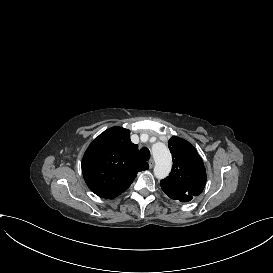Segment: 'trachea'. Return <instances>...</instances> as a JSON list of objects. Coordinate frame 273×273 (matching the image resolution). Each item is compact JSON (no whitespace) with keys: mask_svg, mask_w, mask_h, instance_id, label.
<instances>
[{"mask_svg":"<svg viewBox=\"0 0 273 273\" xmlns=\"http://www.w3.org/2000/svg\"><path fill=\"white\" fill-rule=\"evenodd\" d=\"M140 157L145 161L149 160L150 150L148 148H146V147L141 148L140 149Z\"/></svg>","mask_w":273,"mask_h":273,"instance_id":"1","label":"trachea"}]
</instances>
